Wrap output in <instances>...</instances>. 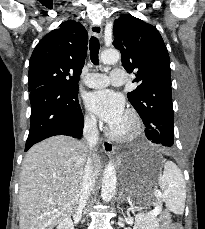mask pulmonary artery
Wrapping results in <instances>:
<instances>
[{
  "instance_id": "obj_1",
  "label": "pulmonary artery",
  "mask_w": 205,
  "mask_h": 229,
  "mask_svg": "<svg viewBox=\"0 0 205 229\" xmlns=\"http://www.w3.org/2000/svg\"><path fill=\"white\" fill-rule=\"evenodd\" d=\"M109 83L113 85H123L126 83V73L121 68H114L110 76L102 73H89L85 78V84L90 88H102Z\"/></svg>"
}]
</instances>
